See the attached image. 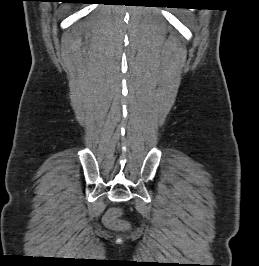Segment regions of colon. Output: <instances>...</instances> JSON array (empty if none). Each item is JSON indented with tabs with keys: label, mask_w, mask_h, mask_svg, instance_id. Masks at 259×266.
Masks as SVG:
<instances>
[{
	"label": "colon",
	"mask_w": 259,
	"mask_h": 266,
	"mask_svg": "<svg viewBox=\"0 0 259 266\" xmlns=\"http://www.w3.org/2000/svg\"><path fill=\"white\" fill-rule=\"evenodd\" d=\"M105 224L114 230H126L129 224L121 218V211L119 209H111L105 216Z\"/></svg>",
	"instance_id": "obj_1"
}]
</instances>
